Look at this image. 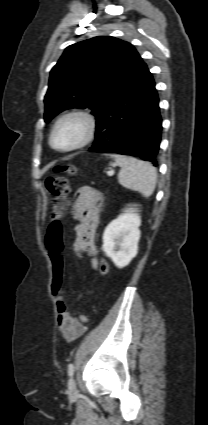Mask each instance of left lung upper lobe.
Segmentation results:
<instances>
[{"label": "left lung upper lobe", "mask_w": 208, "mask_h": 425, "mask_svg": "<svg viewBox=\"0 0 208 425\" xmlns=\"http://www.w3.org/2000/svg\"><path fill=\"white\" fill-rule=\"evenodd\" d=\"M143 64L131 44L110 36L68 46L50 73L45 121L70 108H89L97 119Z\"/></svg>", "instance_id": "1"}]
</instances>
